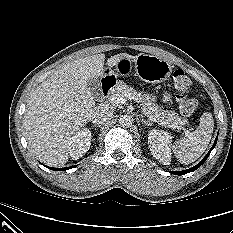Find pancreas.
Returning <instances> with one entry per match:
<instances>
[{"label":"pancreas","mask_w":233,"mask_h":233,"mask_svg":"<svg viewBox=\"0 0 233 233\" xmlns=\"http://www.w3.org/2000/svg\"><path fill=\"white\" fill-rule=\"evenodd\" d=\"M124 92H128L133 97L137 98L143 113L149 118H154L156 122H162L167 127L176 129H182L184 124L187 123V119L181 118L174 110H163L161 107L155 104V96L138 92L134 88L126 85V83L123 81L117 82L116 86L108 95V101L111 102L112 97L120 95Z\"/></svg>","instance_id":"1"}]
</instances>
